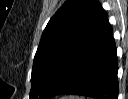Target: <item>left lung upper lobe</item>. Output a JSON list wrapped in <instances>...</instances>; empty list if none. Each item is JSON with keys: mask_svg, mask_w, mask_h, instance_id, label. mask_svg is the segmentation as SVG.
Wrapping results in <instances>:
<instances>
[{"mask_svg": "<svg viewBox=\"0 0 128 99\" xmlns=\"http://www.w3.org/2000/svg\"><path fill=\"white\" fill-rule=\"evenodd\" d=\"M105 14L98 0H66L42 34L34 57L30 99H45L60 67L85 43Z\"/></svg>", "mask_w": 128, "mask_h": 99, "instance_id": "1", "label": "left lung upper lobe"}]
</instances>
